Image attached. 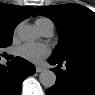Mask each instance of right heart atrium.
<instances>
[{
  "label": "right heart atrium",
  "instance_id": "1",
  "mask_svg": "<svg viewBox=\"0 0 95 95\" xmlns=\"http://www.w3.org/2000/svg\"><path fill=\"white\" fill-rule=\"evenodd\" d=\"M17 31H18V28L15 29V34L17 33Z\"/></svg>",
  "mask_w": 95,
  "mask_h": 95
}]
</instances>
